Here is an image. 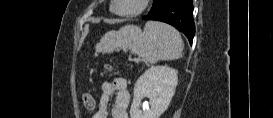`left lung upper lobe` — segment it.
Wrapping results in <instances>:
<instances>
[{
    "instance_id": "left-lung-upper-lobe-1",
    "label": "left lung upper lobe",
    "mask_w": 273,
    "mask_h": 118,
    "mask_svg": "<svg viewBox=\"0 0 273 118\" xmlns=\"http://www.w3.org/2000/svg\"><path fill=\"white\" fill-rule=\"evenodd\" d=\"M161 2H162V0H153V6H152L150 12L153 11V10H155L159 6V4Z\"/></svg>"
}]
</instances>
